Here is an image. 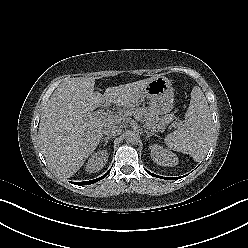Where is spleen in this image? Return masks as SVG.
Instances as JSON below:
<instances>
[{"instance_id": "3e777b00", "label": "spleen", "mask_w": 248, "mask_h": 248, "mask_svg": "<svg viewBox=\"0 0 248 248\" xmlns=\"http://www.w3.org/2000/svg\"><path fill=\"white\" fill-rule=\"evenodd\" d=\"M211 132L209 106L202 90L196 86L191 92L183 127L168 134L164 141L170 149L189 154L195 161H199L208 150Z\"/></svg>"}]
</instances>
